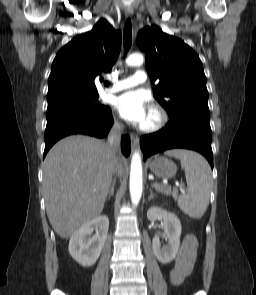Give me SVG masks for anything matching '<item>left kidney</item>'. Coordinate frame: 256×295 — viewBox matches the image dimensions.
<instances>
[{
    "mask_svg": "<svg viewBox=\"0 0 256 295\" xmlns=\"http://www.w3.org/2000/svg\"><path fill=\"white\" fill-rule=\"evenodd\" d=\"M147 218L150 221L157 219L163 220V228L168 239V244L161 248V242L158 236L152 240L153 252L162 264L170 263L177 255L180 246L181 223L178 217L163 208L152 206L147 211Z\"/></svg>",
    "mask_w": 256,
    "mask_h": 295,
    "instance_id": "5707ae66",
    "label": "left kidney"
}]
</instances>
